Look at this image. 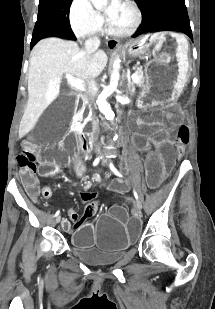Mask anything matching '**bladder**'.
I'll return each instance as SVG.
<instances>
[{
    "label": "bladder",
    "instance_id": "bladder-1",
    "mask_svg": "<svg viewBox=\"0 0 215 309\" xmlns=\"http://www.w3.org/2000/svg\"><path fill=\"white\" fill-rule=\"evenodd\" d=\"M79 258L87 264L94 266H108L113 265L120 261L123 257V253L115 254H87V253H78Z\"/></svg>",
    "mask_w": 215,
    "mask_h": 309
}]
</instances>
